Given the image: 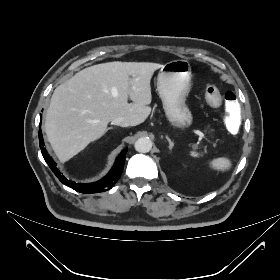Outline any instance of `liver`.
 <instances>
[{"label":"liver","mask_w":280,"mask_h":280,"mask_svg":"<svg viewBox=\"0 0 280 280\" xmlns=\"http://www.w3.org/2000/svg\"><path fill=\"white\" fill-rule=\"evenodd\" d=\"M162 66L107 62L85 68L59 85L45 120L48 141L59 159L66 161L99 139L115 118H126L130 126L143 123L151 112V78Z\"/></svg>","instance_id":"1"}]
</instances>
